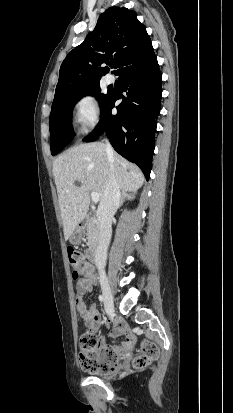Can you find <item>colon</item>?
<instances>
[{
	"label": "colon",
	"mask_w": 233,
	"mask_h": 413,
	"mask_svg": "<svg viewBox=\"0 0 233 413\" xmlns=\"http://www.w3.org/2000/svg\"><path fill=\"white\" fill-rule=\"evenodd\" d=\"M68 258L72 267V276L75 280L87 281L92 277L93 269L85 255L73 248H68ZM80 364L83 370L89 373H108L116 368L118 355L110 348L101 349L99 339L91 334L84 333L79 338ZM156 344L145 340L141 344V354L134 360L135 368H144L151 360L158 356Z\"/></svg>",
	"instance_id": "colon-1"
}]
</instances>
